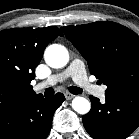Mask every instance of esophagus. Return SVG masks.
I'll return each instance as SVG.
<instances>
[{
  "label": "esophagus",
  "mask_w": 139,
  "mask_h": 139,
  "mask_svg": "<svg viewBox=\"0 0 139 139\" xmlns=\"http://www.w3.org/2000/svg\"><path fill=\"white\" fill-rule=\"evenodd\" d=\"M64 95H65V98H66L67 100H71V99L74 98V96H75V95H73V94H71V93H68V92H66Z\"/></svg>",
  "instance_id": "obj_1"
}]
</instances>
